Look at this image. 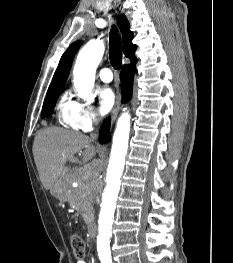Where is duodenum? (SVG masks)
<instances>
[{"instance_id": "1", "label": "duodenum", "mask_w": 233, "mask_h": 263, "mask_svg": "<svg viewBox=\"0 0 233 263\" xmlns=\"http://www.w3.org/2000/svg\"><path fill=\"white\" fill-rule=\"evenodd\" d=\"M89 235L92 239L96 237V225L94 223H91L89 225Z\"/></svg>"}]
</instances>
